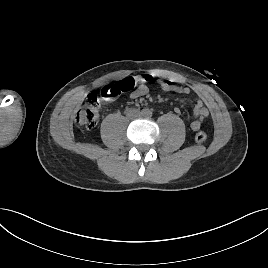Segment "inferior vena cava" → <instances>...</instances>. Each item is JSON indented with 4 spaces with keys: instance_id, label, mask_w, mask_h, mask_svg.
I'll return each instance as SVG.
<instances>
[{
    "instance_id": "602c4592",
    "label": "inferior vena cava",
    "mask_w": 268,
    "mask_h": 268,
    "mask_svg": "<svg viewBox=\"0 0 268 268\" xmlns=\"http://www.w3.org/2000/svg\"><path fill=\"white\" fill-rule=\"evenodd\" d=\"M127 115L132 118L135 119L137 117H139V111L138 110H131L127 112Z\"/></svg>"
}]
</instances>
